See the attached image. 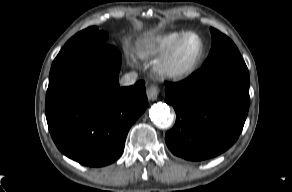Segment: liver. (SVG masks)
I'll use <instances>...</instances> for the list:
<instances>
[{
	"label": "liver",
	"instance_id": "liver-1",
	"mask_svg": "<svg viewBox=\"0 0 292 192\" xmlns=\"http://www.w3.org/2000/svg\"><path fill=\"white\" fill-rule=\"evenodd\" d=\"M152 34V31H148L147 33H146V36H150Z\"/></svg>",
	"mask_w": 292,
	"mask_h": 192
}]
</instances>
